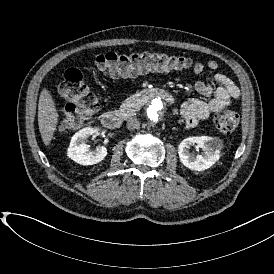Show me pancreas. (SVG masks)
<instances>
[{"label":"pancreas","instance_id":"cf45deb5","mask_svg":"<svg viewBox=\"0 0 274 274\" xmlns=\"http://www.w3.org/2000/svg\"><path fill=\"white\" fill-rule=\"evenodd\" d=\"M141 105L135 100V96L132 95L128 97L120 106V113L123 119H127L136 114V111H139Z\"/></svg>","mask_w":274,"mask_h":274}]
</instances>
